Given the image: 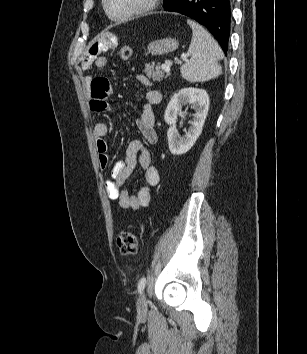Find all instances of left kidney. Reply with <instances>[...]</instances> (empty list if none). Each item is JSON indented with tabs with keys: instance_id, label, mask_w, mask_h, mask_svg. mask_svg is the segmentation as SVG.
Returning a JSON list of instances; mask_svg holds the SVG:
<instances>
[{
	"instance_id": "left-kidney-1",
	"label": "left kidney",
	"mask_w": 307,
	"mask_h": 354,
	"mask_svg": "<svg viewBox=\"0 0 307 354\" xmlns=\"http://www.w3.org/2000/svg\"><path fill=\"white\" fill-rule=\"evenodd\" d=\"M192 104L195 109L191 126L184 136L176 129L177 114L183 105ZM209 110V95L203 89L182 88L170 99L164 114L165 122L170 125L167 131L169 150L173 155H181L189 151L202 132Z\"/></svg>"
}]
</instances>
